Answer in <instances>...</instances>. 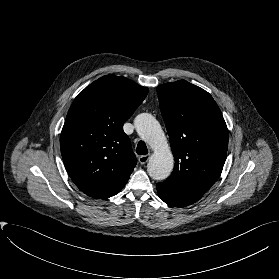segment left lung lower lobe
<instances>
[{"mask_svg":"<svg viewBox=\"0 0 279 279\" xmlns=\"http://www.w3.org/2000/svg\"><path fill=\"white\" fill-rule=\"evenodd\" d=\"M159 197L167 204L185 207L197 202L202 196L181 190L163 182L156 185Z\"/></svg>","mask_w":279,"mask_h":279,"instance_id":"obj_1","label":"left lung lower lobe"}]
</instances>
